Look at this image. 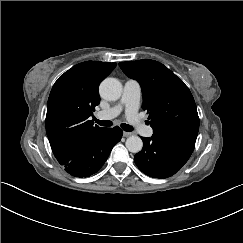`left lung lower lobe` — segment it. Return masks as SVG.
Returning a JSON list of instances; mask_svg holds the SVG:
<instances>
[{"instance_id": "left-lung-lower-lobe-1", "label": "left lung lower lobe", "mask_w": 243, "mask_h": 243, "mask_svg": "<svg viewBox=\"0 0 243 243\" xmlns=\"http://www.w3.org/2000/svg\"><path fill=\"white\" fill-rule=\"evenodd\" d=\"M142 150L134 156L137 167L154 178H167L178 172L190 158L195 142L153 134L141 137Z\"/></svg>"}]
</instances>
